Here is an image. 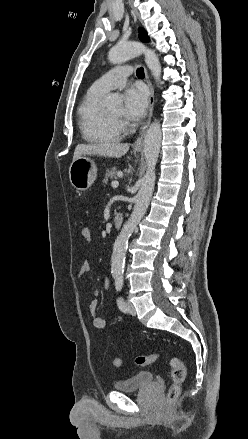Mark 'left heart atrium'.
<instances>
[{
    "mask_svg": "<svg viewBox=\"0 0 248 439\" xmlns=\"http://www.w3.org/2000/svg\"><path fill=\"white\" fill-rule=\"evenodd\" d=\"M123 99V114L125 118L136 121L144 116L148 106V100L147 92L143 87L134 86L128 88L124 92Z\"/></svg>",
    "mask_w": 248,
    "mask_h": 439,
    "instance_id": "39dd6f15",
    "label": "left heart atrium"
}]
</instances>
